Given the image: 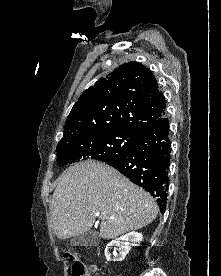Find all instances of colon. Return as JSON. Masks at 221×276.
Returning <instances> with one entry per match:
<instances>
[{
	"label": "colon",
	"mask_w": 221,
	"mask_h": 276,
	"mask_svg": "<svg viewBox=\"0 0 221 276\" xmlns=\"http://www.w3.org/2000/svg\"><path fill=\"white\" fill-rule=\"evenodd\" d=\"M63 257L66 261L72 263V275L73 276H91L93 268H86L78 261L77 254L73 250L65 249L63 251Z\"/></svg>",
	"instance_id": "1"
}]
</instances>
